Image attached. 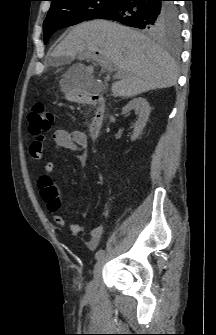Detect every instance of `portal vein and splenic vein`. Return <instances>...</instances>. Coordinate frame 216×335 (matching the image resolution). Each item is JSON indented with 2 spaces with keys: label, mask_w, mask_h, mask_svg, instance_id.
<instances>
[{
  "label": "portal vein and splenic vein",
  "mask_w": 216,
  "mask_h": 335,
  "mask_svg": "<svg viewBox=\"0 0 216 335\" xmlns=\"http://www.w3.org/2000/svg\"><path fill=\"white\" fill-rule=\"evenodd\" d=\"M81 58L86 59H96L99 64L106 69L109 73L116 69V65L112 63L109 59L103 56H97L96 54H83Z\"/></svg>",
  "instance_id": "portal-vein-and-splenic-vein-1"
}]
</instances>
